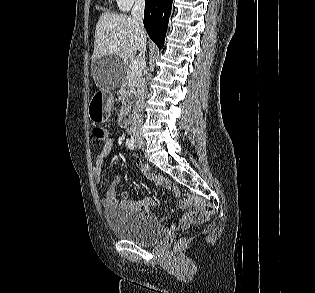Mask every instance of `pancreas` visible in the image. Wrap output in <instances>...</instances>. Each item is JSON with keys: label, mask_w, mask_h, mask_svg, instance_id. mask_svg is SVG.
Here are the masks:
<instances>
[{"label": "pancreas", "mask_w": 315, "mask_h": 293, "mask_svg": "<svg viewBox=\"0 0 315 293\" xmlns=\"http://www.w3.org/2000/svg\"><path fill=\"white\" fill-rule=\"evenodd\" d=\"M136 72H127L126 74V78L124 79L120 90H119V94L122 97V108L123 109H129L130 105L127 104V98L130 96H133L135 93V80H136Z\"/></svg>", "instance_id": "pancreas-1"}]
</instances>
